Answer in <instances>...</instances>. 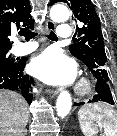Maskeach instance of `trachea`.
Segmentation results:
<instances>
[{"mask_svg":"<svg viewBox=\"0 0 117 136\" xmlns=\"http://www.w3.org/2000/svg\"><path fill=\"white\" fill-rule=\"evenodd\" d=\"M18 34L20 36H24L26 40H30V39L37 36V33L32 31V28L21 29ZM48 38L51 39V40H57L58 39L56 34L53 31L50 32V34L48 35Z\"/></svg>","mask_w":117,"mask_h":136,"instance_id":"obj_1","label":"trachea"}]
</instances>
